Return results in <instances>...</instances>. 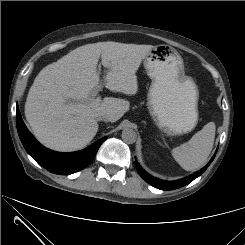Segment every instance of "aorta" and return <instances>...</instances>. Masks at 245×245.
<instances>
[{
  "mask_svg": "<svg viewBox=\"0 0 245 245\" xmlns=\"http://www.w3.org/2000/svg\"><path fill=\"white\" fill-rule=\"evenodd\" d=\"M122 140L127 144H133L137 140L136 132L131 128H125L122 131Z\"/></svg>",
  "mask_w": 245,
  "mask_h": 245,
  "instance_id": "762f6f07",
  "label": "aorta"
}]
</instances>
